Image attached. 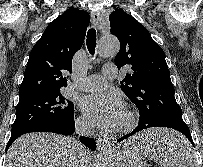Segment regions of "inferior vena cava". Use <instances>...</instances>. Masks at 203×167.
Returning a JSON list of instances; mask_svg holds the SVG:
<instances>
[{
  "instance_id": "1",
  "label": "inferior vena cava",
  "mask_w": 203,
  "mask_h": 167,
  "mask_svg": "<svg viewBox=\"0 0 203 167\" xmlns=\"http://www.w3.org/2000/svg\"><path fill=\"white\" fill-rule=\"evenodd\" d=\"M75 127H76V132L77 134L79 135H85V136H89L92 134V128H91V125L88 124L86 121H83V120H77L76 121V124H75ZM79 156L81 157V167H84L85 165V160H84V156H83V151H82V146L80 148V151H79Z\"/></svg>"
}]
</instances>
